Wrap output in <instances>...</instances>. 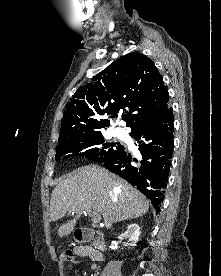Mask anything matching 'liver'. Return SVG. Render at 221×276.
<instances>
[{
	"label": "liver",
	"mask_w": 221,
	"mask_h": 276,
	"mask_svg": "<svg viewBox=\"0 0 221 276\" xmlns=\"http://www.w3.org/2000/svg\"><path fill=\"white\" fill-rule=\"evenodd\" d=\"M149 201L136 188L105 168L88 165L62 180L53 190L50 219L58 221L67 212L76 216L58 229L59 237L71 233L83 212L100 213L107 229L113 223L147 213Z\"/></svg>",
	"instance_id": "liver-1"
}]
</instances>
